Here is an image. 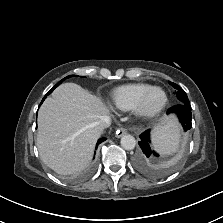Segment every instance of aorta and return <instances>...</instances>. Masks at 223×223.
<instances>
[{
	"instance_id": "aorta-1",
	"label": "aorta",
	"mask_w": 223,
	"mask_h": 223,
	"mask_svg": "<svg viewBox=\"0 0 223 223\" xmlns=\"http://www.w3.org/2000/svg\"><path fill=\"white\" fill-rule=\"evenodd\" d=\"M120 143L125 150H132L136 146V140L132 135H124Z\"/></svg>"
}]
</instances>
